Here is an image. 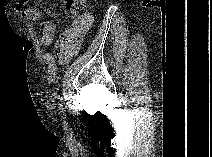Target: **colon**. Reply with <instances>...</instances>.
Segmentation results:
<instances>
[{
    "label": "colon",
    "instance_id": "5ec220e1",
    "mask_svg": "<svg viewBox=\"0 0 212 157\" xmlns=\"http://www.w3.org/2000/svg\"><path fill=\"white\" fill-rule=\"evenodd\" d=\"M65 11L67 14L79 17L86 12V3L84 0H66L64 3ZM74 36H68L67 38H73Z\"/></svg>",
    "mask_w": 212,
    "mask_h": 157
}]
</instances>
